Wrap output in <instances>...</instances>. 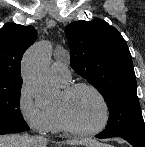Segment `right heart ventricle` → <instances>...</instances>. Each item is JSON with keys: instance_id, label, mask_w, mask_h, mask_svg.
<instances>
[{"instance_id": "e07e8e85", "label": "right heart ventricle", "mask_w": 145, "mask_h": 147, "mask_svg": "<svg viewBox=\"0 0 145 147\" xmlns=\"http://www.w3.org/2000/svg\"><path fill=\"white\" fill-rule=\"evenodd\" d=\"M50 113H51V117H52V131L54 132H60L62 131V127L60 126V123L58 121L56 112L54 109H49Z\"/></svg>"}]
</instances>
